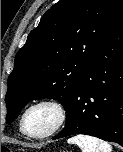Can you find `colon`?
<instances>
[{"mask_svg":"<svg viewBox=\"0 0 123 152\" xmlns=\"http://www.w3.org/2000/svg\"><path fill=\"white\" fill-rule=\"evenodd\" d=\"M1 152H13V151L8 147H2Z\"/></svg>","mask_w":123,"mask_h":152,"instance_id":"obj_1","label":"colon"}]
</instances>
